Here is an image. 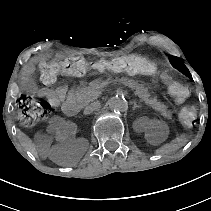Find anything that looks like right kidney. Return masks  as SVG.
Returning <instances> with one entry per match:
<instances>
[{"instance_id":"obj_1","label":"right kidney","mask_w":211,"mask_h":211,"mask_svg":"<svg viewBox=\"0 0 211 211\" xmlns=\"http://www.w3.org/2000/svg\"><path fill=\"white\" fill-rule=\"evenodd\" d=\"M77 124L68 122L65 118L60 116H53L49 120V126L47 132L52 135V140L60 142L62 139H68L69 137H76Z\"/></svg>"}]
</instances>
